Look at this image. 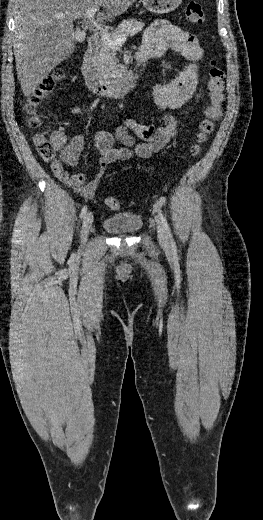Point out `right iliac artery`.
Instances as JSON below:
<instances>
[{
	"instance_id": "right-iliac-artery-1",
	"label": "right iliac artery",
	"mask_w": 263,
	"mask_h": 520,
	"mask_svg": "<svg viewBox=\"0 0 263 520\" xmlns=\"http://www.w3.org/2000/svg\"><path fill=\"white\" fill-rule=\"evenodd\" d=\"M87 213V206H83L82 210H81V214H80V217L81 218H84L85 215Z\"/></svg>"
}]
</instances>
